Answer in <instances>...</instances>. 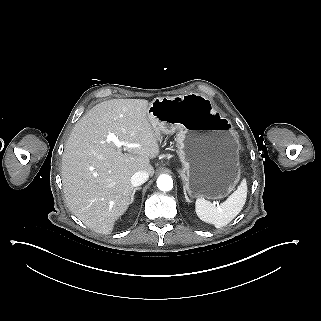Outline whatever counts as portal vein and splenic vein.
I'll use <instances>...</instances> for the list:
<instances>
[{"label":"portal vein and splenic vein","instance_id":"obj_1","mask_svg":"<svg viewBox=\"0 0 321 321\" xmlns=\"http://www.w3.org/2000/svg\"><path fill=\"white\" fill-rule=\"evenodd\" d=\"M106 142L110 143L113 142L117 148H121L122 146L128 147V148H134L137 147L135 144H128L124 141H120L119 138L112 132H110L106 137ZM221 200L219 198H215L213 200L212 206L218 207V210L220 212H223V208L220 206Z\"/></svg>","mask_w":321,"mask_h":321}]
</instances>
